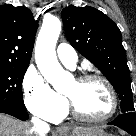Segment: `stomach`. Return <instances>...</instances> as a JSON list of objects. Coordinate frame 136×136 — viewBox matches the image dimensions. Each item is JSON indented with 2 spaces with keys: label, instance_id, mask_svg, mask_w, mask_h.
<instances>
[{
  "label": "stomach",
  "instance_id": "obj_1",
  "mask_svg": "<svg viewBox=\"0 0 136 136\" xmlns=\"http://www.w3.org/2000/svg\"><path fill=\"white\" fill-rule=\"evenodd\" d=\"M60 136H112L106 132H104L103 130L97 128L94 131H92L91 133H84V134H69L68 132H64L63 134H61Z\"/></svg>",
  "mask_w": 136,
  "mask_h": 136
}]
</instances>
